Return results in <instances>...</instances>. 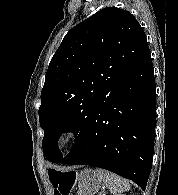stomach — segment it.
I'll list each match as a JSON object with an SVG mask.
<instances>
[{
    "instance_id": "stomach-1",
    "label": "stomach",
    "mask_w": 178,
    "mask_h": 195,
    "mask_svg": "<svg viewBox=\"0 0 178 195\" xmlns=\"http://www.w3.org/2000/svg\"><path fill=\"white\" fill-rule=\"evenodd\" d=\"M75 181L78 184L77 195H96L103 186L97 172L92 169L81 171L77 174Z\"/></svg>"
}]
</instances>
